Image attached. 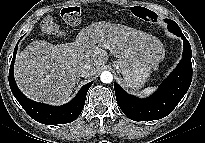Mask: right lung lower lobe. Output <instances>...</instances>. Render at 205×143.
<instances>
[{
  "label": "right lung lower lobe",
  "mask_w": 205,
  "mask_h": 143,
  "mask_svg": "<svg viewBox=\"0 0 205 143\" xmlns=\"http://www.w3.org/2000/svg\"><path fill=\"white\" fill-rule=\"evenodd\" d=\"M17 45L14 49L13 59L9 69V85L13 95L18 100L23 109L31 118L42 124H65L74 121L84 108L87 91L93 82L83 86L76 97L65 105L51 106L34 102L28 99L19 90L14 79L13 65L16 57Z\"/></svg>",
  "instance_id": "right-lung-lower-lobe-1"
}]
</instances>
